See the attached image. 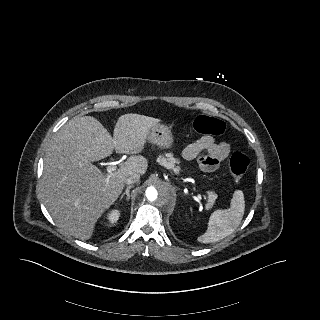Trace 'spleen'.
<instances>
[{"instance_id":"obj_1","label":"spleen","mask_w":320,"mask_h":320,"mask_svg":"<svg viewBox=\"0 0 320 320\" xmlns=\"http://www.w3.org/2000/svg\"><path fill=\"white\" fill-rule=\"evenodd\" d=\"M245 200L241 190L234 192L230 208L214 211L209 218L204 234L198 237L201 243H213L231 235L239 226L244 216Z\"/></svg>"}]
</instances>
